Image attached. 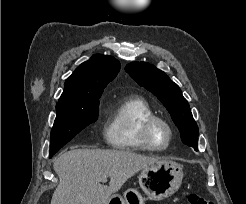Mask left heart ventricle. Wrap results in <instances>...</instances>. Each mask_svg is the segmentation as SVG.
<instances>
[{"mask_svg": "<svg viewBox=\"0 0 246 204\" xmlns=\"http://www.w3.org/2000/svg\"><path fill=\"white\" fill-rule=\"evenodd\" d=\"M168 131L162 124H156L152 131V140L158 146H163L168 140Z\"/></svg>", "mask_w": 246, "mask_h": 204, "instance_id": "left-heart-ventricle-1", "label": "left heart ventricle"}]
</instances>
